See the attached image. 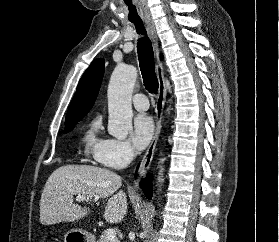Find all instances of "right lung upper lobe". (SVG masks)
<instances>
[{"label": "right lung upper lobe", "mask_w": 279, "mask_h": 242, "mask_svg": "<svg viewBox=\"0 0 279 242\" xmlns=\"http://www.w3.org/2000/svg\"><path fill=\"white\" fill-rule=\"evenodd\" d=\"M103 73V59L94 60L86 69L68 109L65 124L80 121L92 108L100 89Z\"/></svg>", "instance_id": "cb5924a9"}]
</instances>
